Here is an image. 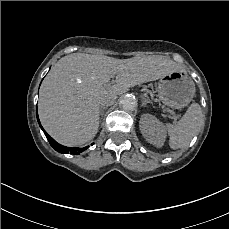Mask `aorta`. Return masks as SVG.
<instances>
[{"label":"aorta","mask_w":229,"mask_h":229,"mask_svg":"<svg viewBox=\"0 0 229 229\" xmlns=\"http://www.w3.org/2000/svg\"><path fill=\"white\" fill-rule=\"evenodd\" d=\"M120 105L124 110L132 111L137 107V100L131 95H125L121 98Z\"/></svg>","instance_id":"obj_1"}]
</instances>
